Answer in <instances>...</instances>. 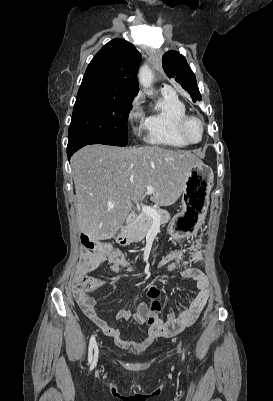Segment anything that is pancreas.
Masks as SVG:
<instances>
[{
    "mask_svg": "<svg viewBox=\"0 0 273 401\" xmlns=\"http://www.w3.org/2000/svg\"><path fill=\"white\" fill-rule=\"evenodd\" d=\"M155 211H157L158 215H160L159 225H165L170 221L171 217L167 211H163L160 207H156ZM153 225L152 217L149 215H145V213H139L137 219L127 225L126 227V237L129 243H137V241H143L145 235H147L148 231H150Z\"/></svg>",
    "mask_w": 273,
    "mask_h": 401,
    "instance_id": "cf45deb5",
    "label": "pancreas"
}]
</instances>
